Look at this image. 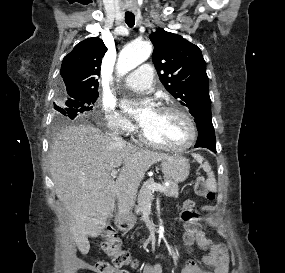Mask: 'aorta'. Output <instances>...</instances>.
Returning a JSON list of instances; mask_svg holds the SVG:
<instances>
[{"instance_id":"obj_1","label":"aorta","mask_w":285,"mask_h":273,"mask_svg":"<svg viewBox=\"0 0 285 273\" xmlns=\"http://www.w3.org/2000/svg\"><path fill=\"white\" fill-rule=\"evenodd\" d=\"M152 53V45L148 41H137L124 47L119 55L117 73L127 74L132 69L146 61Z\"/></svg>"}]
</instances>
